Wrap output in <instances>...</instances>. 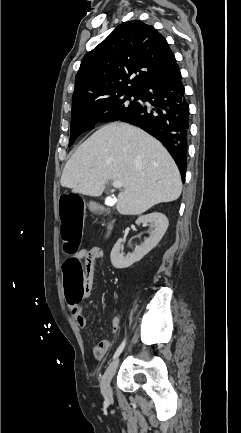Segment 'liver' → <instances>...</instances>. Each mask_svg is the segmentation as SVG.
I'll return each mask as SVG.
<instances>
[{"instance_id": "liver-1", "label": "liver", "mask_w": 241, "mask_h": 433, "mask_svg": "<svg viewBox=\"0 0 241 433\" xmlns=\"http://www.w3.org/2000/svg\"><path fill=\"white\" fill-rule=\"evenodd\" d=\"M109 180L124 184L116 203L122 215H140L182 192L180 172L166 148L126 123L105 125L82 143L64 167L61 186L97 197Z\"/></svg>"}]
</instances>
